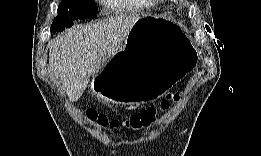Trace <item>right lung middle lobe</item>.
<instances>
[{"label":"right lung middle lobe","instance_id":"right-lung-middle-lobe-1","mask_svg":"<svg viewBox=\"0 0 261 156\" xmlns=\"http://www.w3.org/2000/svg\"><path fill=\"white\" fill-rule=\"evenodd\" d=\"M97 11V5L91 0H62L58 16L51 25V31H63L77 20L94 18Z\"/></svg>","mask_w":261,"mask_h":156}]
</instances>
